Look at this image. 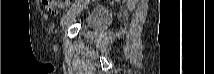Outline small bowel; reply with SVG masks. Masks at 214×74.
I'll use <instances>...</instances> for the list:
<instances>
[{"instance_id": "small-bowel-1", "label": "small bowel", "mask_w": 214, "mask_h": 74, "mask_svg": "<svg viewBox=\"0 0 214 74\" xmlns=\"http://www.w3.org/2000/svg\"><path fill=\"white\" fill-rule=\"evenodd\" d=\"M54 3H55L54 1H45L44 5L47 9H51V8H54L56 6V4H54ZM51 14L53 16H57L59 14V11L56 9H53Z\"/></svg>"}]
</instances>
